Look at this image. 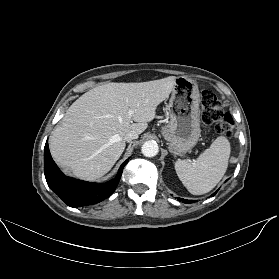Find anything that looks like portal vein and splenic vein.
<instances>
[{"mask_svg": "<svg viewBox=\"0 0 279 279\" xmlns=\"http://www.w3.org/2000/svg\"><path fill=\"white\" fill-rule=\"evenodd\" d=\"M132 115V111H129V116H131Z\"/></svg>", "mask_w": 279, "mask_h": 279, "instance_id": "18ae733b", "label": "portal vein and splenic vein"}]
</instances>
